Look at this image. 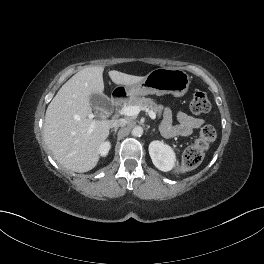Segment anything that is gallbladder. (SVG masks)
Wrapping results in <instances>:
<instances>
[{
  "label": "gallbladder",
  "mask_w": 264,
  "mask_h": 264,
  "mask_svg": "<svg viewBox=\"0 0 264 264\" xmlns=\"http://www.w3.org/2000/svg\"><path fill=\"white\" fill-rule=\"evenodd\" d=\"M90 104L97 109H105L110 106V100L105 95L93 94L90 98Z\"/></svg>",
  "instance_id": "bac80fb5"
}]
</instances>
